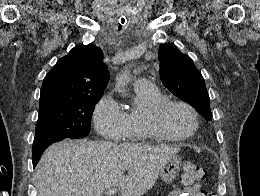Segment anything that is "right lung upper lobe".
I'll list each match as a JSON object with an SVG mask.
<instances>
[{
    "label": "right lung upper lobe",
    "mask_w": 260,
    "mask_h": 196,
    "mask_svg": "<svg viewBox=\"0 0 260 196\" xmlns=\"http://www.w3.org/2000/svg\"><path fill=\"white\" fill-rule=\"evenodd\" d=\"M99 47L78 45L45 76L40 106L84 96H102L109 72Z\"/></svg>",
    "instance_id": "cb5924a9"
}]
</instances>
